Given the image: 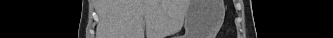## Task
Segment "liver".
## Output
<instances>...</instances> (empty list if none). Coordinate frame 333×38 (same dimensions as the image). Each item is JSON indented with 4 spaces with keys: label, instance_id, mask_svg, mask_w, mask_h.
I'll return each mask as SVG.
<instances>
[{
    "label": "liver",
    "instance_id": "obj_1",
    "mask_svg": "<svg viewBox=\"0 0 333 38\" xmlns=\"http://www.w3.org/2000/svg\"><path fill=\"white\" fill-rule=\"evenodd\" d=\"M162 2H159L157 0H148L143 1L140 5V7L146 9V10H157Z\"/></svg>",
    "mask_w": 333,
    "mask_h": 38
}]
</instances>
